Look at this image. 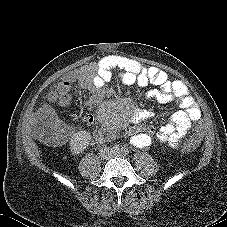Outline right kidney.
Instances as JSON below:
<instances>
[{
  "label": "right kidney",
  "instance_id": "1",
  "mask_svg": "<svg viewBox=\"0 0 227 227\" xmlns=\"http://www.w3.org/2000/svg\"><path fill=\"white\" fill-rule=\"evenodd\" d=\"M90 141L91 135L87 131H78L72 134L69 143L72 154L82 153L88 147Z\"/></svg>",
  "mask_w": 227,
  "mask_h": 227
}]
</instances>
